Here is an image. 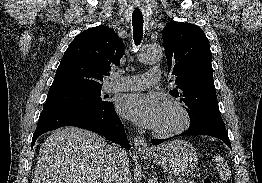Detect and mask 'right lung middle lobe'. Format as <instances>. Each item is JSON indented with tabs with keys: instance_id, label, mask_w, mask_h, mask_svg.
I'll return each mask as SVG.
<instances>
[{
	"instance_id": "obj_1",
	"label": "right lung middle lobe",
	"mask_w": 262,
	"mask_h": 183,
	"mask_svg": "<svg viewBox=\"0 0 262 183\" xmlns=\"http://www.w3.org/2000/svg\"><path fill=\"white\" fill-rule=\"evenodd\" d=\"M100 88L68 89L48 92L45 104H70L83 107H106L112 102L103 100Z\"/></svg>"
}]
</instances>
